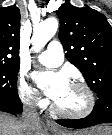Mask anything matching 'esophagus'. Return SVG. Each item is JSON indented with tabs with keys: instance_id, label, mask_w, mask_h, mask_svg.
I'll use <instances>...</instances> for the list:
<instances>
[{
	"instance_id": "esophagus-1",
	"label": "esophagus",
	"mask_w": 112,
	"mask_h": 135,
	"mask_svg": "<svg viewBox=\"0 0 112 135\" xmlns=\"http://www.w3.org/2000/svg\"><path fill=\"white\" fill-rule=\"evenodd\" d=\"M46 124L51 129H55V130L59 129V127L53 121H47Z\"/></svg>"
}]
</instances>
